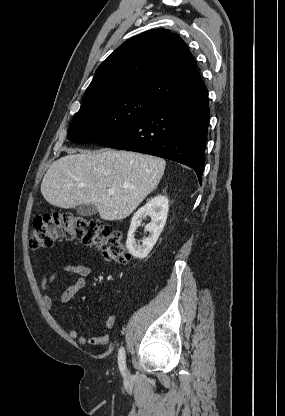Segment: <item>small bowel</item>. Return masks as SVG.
<instances>
[{
	"mask_svg": "<svg viewBox=\"0 0 285 416\" xmlns=\"http://www.w3.org/2000/svg\"><path fill=\"white\" fill-rule=\"evenodd\" d=\"M91 267L86 264H80L72 261L63 262L61 267L52 272L45 273L42 276L40 287L45 293L49 292L56 279L60 274L67 273L74 275L73 283L59 295V302H69L80 290L86 286V278L91 274ZM43 306L49 312L53 310V300L50 295L45 294L42 298ZM116 322L114 315H109L105 321L107 330L113 328ZM70 338L77 340L81 345H105L109 341V334L104 332L98 336H86L81 334L77 329H71L68 332Z\"/></svg>",
	"mask_w": 285,
	"mask_h": 416,
	"instance_id": "obj_1",
	"label": "small bowel"
}]
</instances>
